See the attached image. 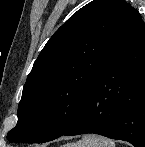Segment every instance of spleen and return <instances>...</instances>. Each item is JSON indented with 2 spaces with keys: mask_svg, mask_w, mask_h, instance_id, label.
<instances>
[{
  "mask_svg": "<svg viewBox=\"0 0 145 147\" xmlns=\"http://www.w3.org/2000/svg\"><path fill=\"white\" fill-rule=\"evenodd\" d=\"M70 147H115L114 141L98 136V135H86L76 143L68 144Z\"/></svg>",
  "mask_w": 145,
  "mask_h": 147,
  "instance_id": "obj_1",
  "label": "spleen"
}]
</instances>
